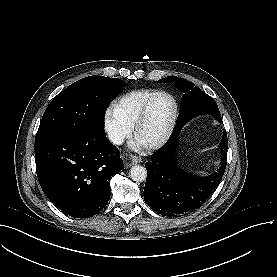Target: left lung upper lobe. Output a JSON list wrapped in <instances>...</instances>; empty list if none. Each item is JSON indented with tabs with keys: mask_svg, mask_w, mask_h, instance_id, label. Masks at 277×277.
<instances>
[{
	"mask_svg": "<svg viewBox=\"0 0 277 277\" xmlns=\"http://www.w3.org/2000/svg\"><path fill=\"white\" fill-rule=\"evenodd\" d=\"M168 81H174L178 89L184 93L181 99V108L176 121L175 130L171 136L178 134L186 122L201 114H211L219 122H222L218 106L211 96L207 95L197 86H194L192 82L183 78L168 76L158 80L159 83Z\"/></svg>",
	"mask_w": 277,
	"mask_h": 277,
	"instance_id": "5c2ea615",
	"label": "left lung upper lobe"
}]
</instances>
